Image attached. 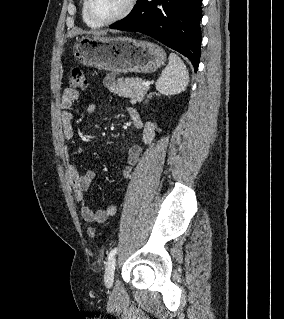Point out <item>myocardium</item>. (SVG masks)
I'll list each match as a JSON object with an SVG mask.
<instances>
[{
	"label": "myocardium",
	"instance_id": "f54148a6",
	"mask_svg": "<svg viewBox=\"0 0 284 319\" xmlns=\"http://www.w3.org/2000/svg\"><path fill=\"white\" fill-rule=\"evenodd\" d=\"M135 4L136 0H127L125 7L119 14L108 20H100L96 18L91 11V0H85V13L93 23L99 26H108L125 19L133 11Z\"/></svg>",
	"mask_w": 284,
	"mask_h": 319
}]
</instances>
